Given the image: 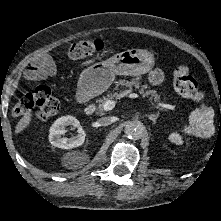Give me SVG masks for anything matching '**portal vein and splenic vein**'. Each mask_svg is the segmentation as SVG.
Masks as SVG:
<instances>
[{"mask_svg": "<svg viewBox=\"0 0 221 221\" xmlns=\"http://www.w3.org/2000/svg\"><path fill=\"white\" fill-rule=\"evenodd\" d=\"M140 96L136 93H131L129 94V98H139ZM116 105V101L114 100H107L104 104H103V109L105 111H110L112 110ZM156 106L158 107H162L163 109H169V110H175V106L170 105V104H163V103H157Z\"/></svg>", "mask_w": 221, "mask_h": 221, "instance_id": "1", "label": "portal vein and splenic vein"}]
</instances>
